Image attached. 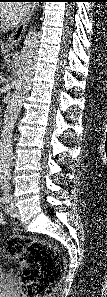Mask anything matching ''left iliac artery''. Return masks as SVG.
Instances as JSON below:
<instances>
[{"instance_id":"44dca946","label":"left iliac artery","mask_w":107,"mask_h":297,"mask_svg":"<svg viewBox=\"0 0 107 297\" xmlns=\"http://www.w3.org/2000/svg\"><path fill=\"white\" fill-rule=\"evenodd\" d=\"M12 199L11 195L9 194V190L7 188H4V194L1 197L0 201L3 204H9L10 200Z\"/></svg>"}]
</instances>
